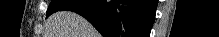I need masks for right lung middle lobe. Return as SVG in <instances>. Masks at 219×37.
<instances>
[{"instance_id": "1", "label": "right lung middle lobe", "mask_w": 219, "mask_h": 37, "mask_svg": "<svg viewBox=\"0 0 219 37\" xmlns=\"http://www.w3.org/2000/svg\"><path fill=\"white\" fill-rule=\"evenodd\" d=\"M69 2V0H52L47 10V17L57 11H60L61 8Z\"/></svg>"}]
</instances>
